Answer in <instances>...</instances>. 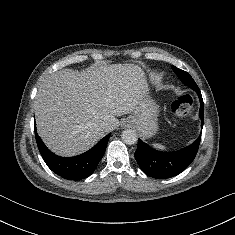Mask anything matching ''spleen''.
<instances>
[{"mask_svg": "<svg viewBox=\"0 0 235 235\" xmlns=\"http://www.w3.org/2000/svg\"><path fill=\"white\" fill-rule=\"evenodd\" d=\"M154 148L156 149H160V150H165V146L161 145V144H152Z\"/></svg>", "mask_w": 235, "mask_h": 235, "instance_id": "obj_1", "label": "spleen"}]
</instances>
